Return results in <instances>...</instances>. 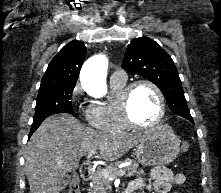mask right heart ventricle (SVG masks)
Masks as SVG:
<instances>
[{"label":"right heart ventricle","mask_w":221,"mask_h":193,"mask_svg":"<svg viewBox=\"0 0 221 193\" xmlns=\"http://www.w3.org/2000/svg\"><path fill=\"white\" fill-rule=\"evenodd\" d=\"M125 85L126 80H111L113 98L87 108V120L92 127L111 133H122L130 129L124 122L118 105V98Z\"/></svg>","instance_id":"obj_1"}]
</instances>
